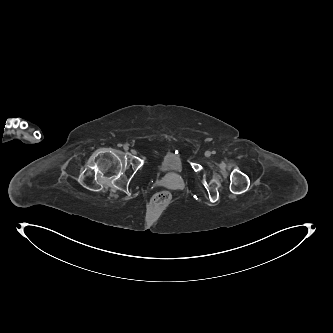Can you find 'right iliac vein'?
Wrapping results in <instances>:
<instances>
[{"label": "right iliac vein", "mask_w": 333, "mask_h": 333, "mask_svg": "<svg viewBox=\"0 0 333 333\" xmlns=\"http://www.w3.org/2000/svg\"><path fill=\"white\" fill-rule=\"evenodd\" d=\"M131 152H132L133 154H136V153H137L136 150H131Z\"/></svg>", "instance_id": "obj_1"}]
</instances>
